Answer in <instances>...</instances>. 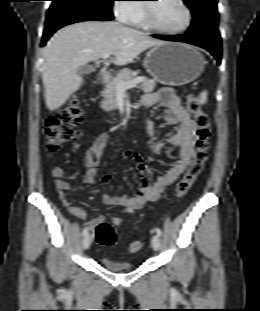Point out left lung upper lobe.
Returning a JSON list of instances; mask_svg holds the SVG:
<instances>
[{"instance_id": "1", "label": "left lung upper lobe", "mask_w": 260, "mask_h": 311, "mask_svg": "<svg viewBox=\"0 0 260 311\" xmlns=\"http://www.w3.org/2000/svg\"><path fill=\"white\" fill-rule=\"evenodd\" d=\"M191 9L193 21L188 33L220 38L218 31V0H183Z\"/></svg>"}]
</instances>
